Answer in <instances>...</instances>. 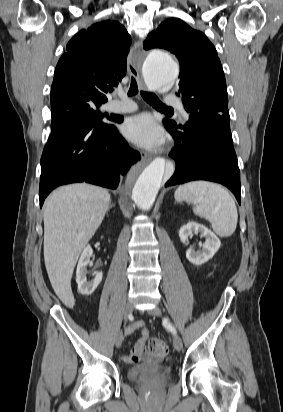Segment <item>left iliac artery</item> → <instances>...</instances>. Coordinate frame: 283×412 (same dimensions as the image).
I'll list each match as a JSON object with an SVG mask.
<instances>
[{
  "label": "left iliac artery",
  "instance_id": "44dca946",
  "mask_svg": "<svg viewBox=\"0 0 283 412\" xmlns=\"http://www.w3.org/2000/svg\"><path fill=\"white\" fill-rule=\"evenodd\" d=\"M166 323V322H165ZM168 329L171 331V332H173L174 334L176 333V330H175V328L171 325V324H168Z\"/></svg>",
  "mask_w": 283,
  "mask_h": 412
}]
</instances>
